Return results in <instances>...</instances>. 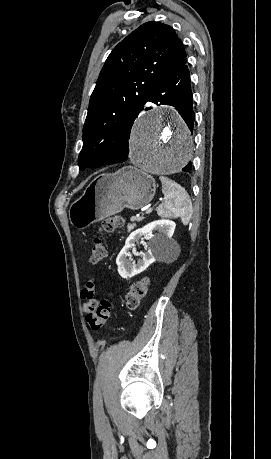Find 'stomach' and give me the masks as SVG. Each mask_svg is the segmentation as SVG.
<instances>
[{
	"label": "stomach",
	"instance_id": "0dacf381",
	"mask_svg": "<svg viewBox=\"0 0 271 459\" xmlns=\"http://www.w3.org/2000/svg\"><path fill=\"white\" fill-rule=\"evenodd\" d=\"M155 192L152 176L133 166H124L115 174L97 176L83 196L71 204L69 220L74 228L85 229L124 208L140 210L153 200Z\"/></svg>",
	"mask_w": 271,
	"mask_h": 459
}]
</instances>
